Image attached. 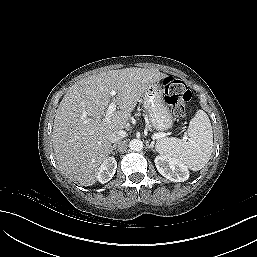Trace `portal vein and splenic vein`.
<instances>
[{
	"label": "portal vein and splenic vein",
	"instance_id": "obj_1",
	"mask_svg": "<svg viewBox=\"0 0 257 257\" xmlns=\"http://www.w3.org/2000/svg\"><path fill=\"white\" fill-rule=\"evenodd\" d=\"M110 94L112 96H115L116 95V91L112 90L110 92ZM116 110V103L115 102H111L107 108V112H106V116H109L110 114H112L114 111ZM165 134H156L153 136V139H158V138H161V137H164Z\"/></svg>",
	"mask_w": 257,
	"mask_h": 257
}]
</instances>
